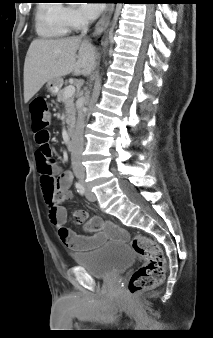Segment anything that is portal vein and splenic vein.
Returning <instances> with one entry per match:
<instances>
[{
  "instance_id": "portal-vein-and-splenic-vein-1",
  "label": "portal vein and splenic vein",
  "mask_w": 213,
  "mask_h": 338,
  "mask_svg": "<svg viewBox=\"0 0 213 338\" xmlns=\"http://www.w3.org/2000/svg\"><path fill=\"white\" fill-rule=\"evenodd\" d=\"M74 93H75V87L73 85H69L65 88L64 97L65 98L71 97L74 95Z\"/></svg>"
}]
</instances>
